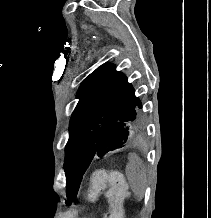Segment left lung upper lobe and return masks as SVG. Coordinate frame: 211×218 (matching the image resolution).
I'll return each mask as SVG.
<instances>
[{
	"mask_svg": "<svg viewBox=\"0 0 211 218\" xmlns=\"http://www.w3.org/2000/svg\"><path fill=\"white\" fill-rule=\"evenodd\" d=\"M71 116L65 149L66 195L77 196L83 175L95 155L132 142L142 123V103L133 86L112 63H104L82 82Z\"/></svg>",
	"mask_w": 211,
	"mask_h": 218,
	"instance_id": "obj_1",
	"label": "left lung upper lobe"
}]
</instances>
